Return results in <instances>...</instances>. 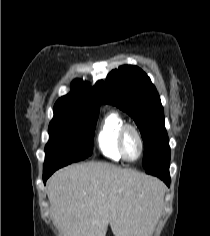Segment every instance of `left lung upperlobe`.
I'll use <instances>...</instances> for the list:
<instances>
[{
  "label": "left lung upper lobe",
  "mask_w": 210,
  "mask_h": 236,
  "mask_svg": "<svg viewBox=\"0 0 210 236\" xmlns=\"http://www.w3.org/2000/svg\"><path fill=\"white\" fill-rule=\"evenodd\" d=\"M102 91L104 104L116 105L136 122L145 146L144 169L170 151L160 96L146 73L121 66L108 74Z\"/></svg>",
  "instance_id": "left-lung-upper-lobe-1"
}]
</instances>
